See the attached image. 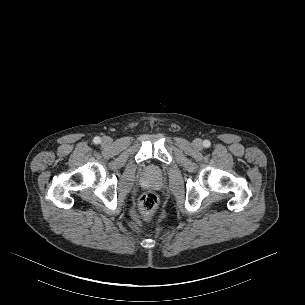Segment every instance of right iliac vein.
Returning a JSON list of instances; mask_svg holds the SVG:
<instances>
[{"instance_id":"1","label":"right iliac vein","mask_w":305,"mask_h":305,"mask_svg":"<svg viewBox=\"0 0 305 305\" xmlns=\"http://www.w3.org/2000/svg\"><path fill=\"white\" fill-rule=\"evenodd\" d=\"M111 142V140H110V138H108V137H104L103 139H102V143L103 144H109Z\"/></svg>"}]
</instances>
